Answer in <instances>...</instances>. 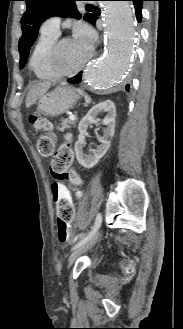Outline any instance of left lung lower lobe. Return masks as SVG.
<instances>
[{"label": "left lung lower lobe", "instance_id": "1", "mask_svg": "<svg viewBox=\"0 0 183 329\" xmlns=\"http://www.w3.org/2000/svg\"><path fill=\"white\" fill-rule=\"evenodd\" d=\"M130 1H133V3H134L136 18H137L138 22H140L141 18H142V12H141L142 2L145 0H130ZM96 19H97V17L95 16L93 25L95 24ZM81 77H82V72H80L79 74L75 75L72 78H69L68 82L72 83V84H78L81 81ZM129 86H130L129 84L126 85L127 91L129 90Z\"/></svg>", "mask_w": 183, "mask_h": 329}]
</instances>
